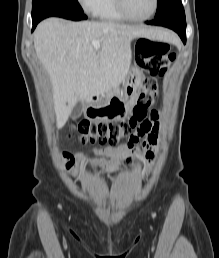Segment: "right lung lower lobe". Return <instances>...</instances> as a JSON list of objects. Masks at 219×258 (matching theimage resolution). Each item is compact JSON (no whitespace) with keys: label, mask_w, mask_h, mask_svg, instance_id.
I'll return each instance as SVG.
<instances>
[{"label":"right lung lower lobe","mask_w":219,"mask_h":258,"mask_svg":"<svg viewBox=\"0 0 219 258\" xmlns=\"http://www.w3.org/2000/svg\"><path fill=\"white\" fill-rule=\"evenodd\" d=\"M51 16L62 17V18L70 19V20H74V21L87 19V16L84 15L83 13H78V12H75V11L69 10V9L56 8V9H53V10H50V11L46 12L45 14H43L38 19L32 20V23H33L32 31L35 29L36 25L41 20H43L47 17H51Z\"/></svg>","instance_id":"right-lung-lower-lobe-1"}]
</instances>
